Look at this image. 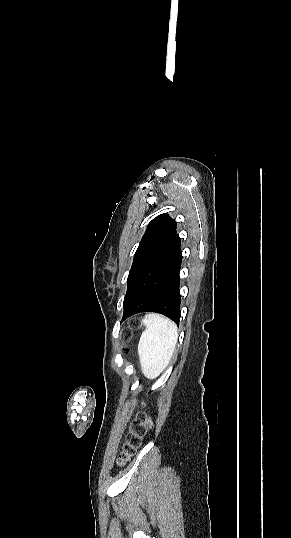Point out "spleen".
Segmentation results:
<instances>
[{
    "label": "spleen",
    "instance_id": "obj_1",
    "mask_svg": "<svg viewBox=\"0 0 291 538\" xmlns=\"http://www.w3.org/2000/svg\"><path fill=\"white\" fill-rule=\"evenodd\" d=\"M143 324L146 329L138 344L141 369L146 378L155 379L167 367L175 351L178 329L174 322L159 314H148Z\"/></svg>",
    "mask_w": 291,
    "mask_h": 538
}]
</instances>
